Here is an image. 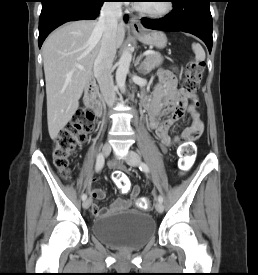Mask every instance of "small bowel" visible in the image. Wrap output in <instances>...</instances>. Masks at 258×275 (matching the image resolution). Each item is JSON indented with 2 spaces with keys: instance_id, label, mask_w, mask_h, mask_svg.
<instances>
[{
  "instance_id": "small-bowel-1",
  "label": "small bowel",
  "mask_w": 258,
  "mask_h": 275,
  "mask_svg": "<svg viewBox=\"0 0 258 275\" xmlns=\"http://www.w3.org/2000/svg\"><path fill=\"white\" fill-rule=\"evenodd\" d=\"M159 83L156 85L151 97L144 98V105L148 110L149 126L154 132L160 149L167 153L169 148L180 141V137L172 136L171 131L177 126L178 120L185 112L193 116L192 125L187 128L182 138L187 142L197 139L204 128L199 114L195 107L188 104L190 95L187 92L178 90L175 75L167 69L158 71ZM114 168H122L121 165L113 163ZM139 186H134L131 190L130 198L116 199L109 207L100 208L99 201L104 199L105 192L102 188L91 190L92 213L96 217H101L121 210L130 209L138 198Z\"/></svg>"
}]
</instances>
